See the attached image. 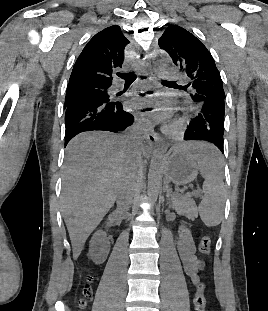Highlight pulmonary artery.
<instances>
[{"label":"pulmonary artery","mask_w":268,"mask_h":311,"mask_svg":"<svg viewBox=\"0 0 268 311\" xmlns=\"http://www.w3.org/2000/svg\"><path fill=\"white\" fill-rule=\"evenodd\" d=\"M178 72L175 69H169L166 73H165V77L168 79H173L178 77Z\"/></svg>","instance_id":"pulmonary-artery-1"}]
</instances>
